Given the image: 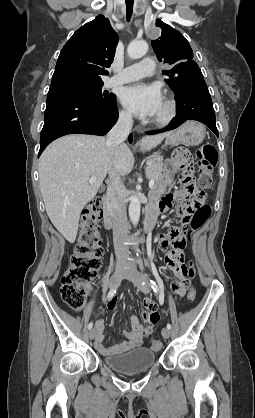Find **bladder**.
Segmentation results:
<instances>
[{"instance_id": "1", "label": "bladder", "mask_w": 255, "mask_h": 418, "mask_svg": "<svg viewBox=\"0 0 255 418\" xmlns=\"http://www.w3.org/2000/svg\"><path fill=\"white\" fill-rule=\"evenodd\" d=\"M104 363L111 369L121 373H137L152 367L156 361V353L147 347H138L128 352L104 357Z\"/></svg>"}]
</instances>
